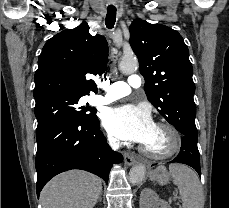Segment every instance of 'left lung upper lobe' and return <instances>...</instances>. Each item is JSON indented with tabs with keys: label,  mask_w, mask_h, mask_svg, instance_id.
Masks as SVG:
<instances>
[{
	"label": "left lung upper lobe",
	"mask_w": 229,
	"mask_h": 208,
	"mask_svg": "<svg viewBox=\"0 0 229 208\" xmlns=\"http://www.w3.org/2000/svg\"><path fill=\"white\" fill-rule=\"evenodd\" d=\"M129 31L147 99L182 135L186 129L197 130L193 68L182 36L170 27L141 19L133 20Z\"/></svg>",
	"instance_id": "left-lung-upper-lobe-1"
}]
</instances>
